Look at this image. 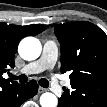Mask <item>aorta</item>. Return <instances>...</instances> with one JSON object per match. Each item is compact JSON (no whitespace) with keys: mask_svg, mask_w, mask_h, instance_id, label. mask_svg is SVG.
Instances as JSON below:
<instances>
[{"mask_svg":"<svg viewBox=\"0 0 107 107\" xmlns=\"http://www.w3.org/2000/svg\"><path fill=\"white\" fill-rule=\"evenodd\" d=\"M41 50L40 41L33 37L24 39L19 46V53L24 60H34L38 58ZM57 104V97L52 93H44L40 97V105L42 107H56Z\"/></svg>","mask_w":107,"mask_h":107,"instance_id":"obj_1","label":"aorta"}]
</instances>
